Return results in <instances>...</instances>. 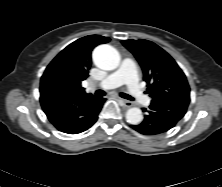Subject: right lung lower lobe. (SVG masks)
I'll return each instance as SVG.
<instances>
[{"mask_svg":"<svg viewBox=\"0 0 222 187\" xmlns=\"http://www.w3.org/2000/svg\"><path fill=\"white\" fill-rule=\"evenodd\" d=\"M105 98L77 96L61 86L47 82L40 87V102L49 121L61 132L78 134L98 119Z\"/></svg>","mask_w":222,"mask_h":187,"instance_id":"98d812e1","label":"right lung lower lobe"}]
</instances>
